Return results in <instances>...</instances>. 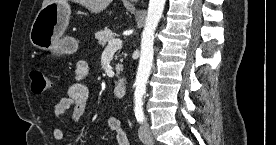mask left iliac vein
I'll return each instance as SVG.
<instances>
[{
	"label": "left iliac vein",
	"instance_id": "1",
	"mask_svg": "<svg viewBox=\"0 0 276 145\" xmlns=\"http://www.w3.org/2000/svg\"><path fill=\"white\" fill-rule=\"evenodd\" d=\"M139 138L144 144H152L153 143V136L150 130V126L147 122H144L139 127Z\"/></svg>",
	"mask_w": 276,
	"mask_h": 145
}]
</instances>
